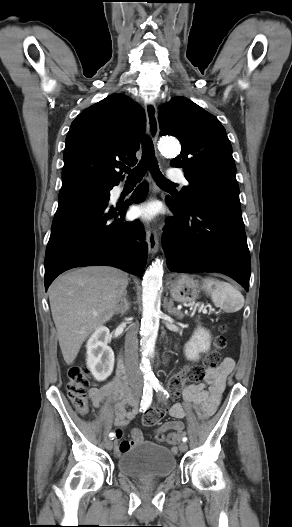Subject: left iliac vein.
Wrapping results in <instances>:
<instances>
[{"label":"left iliac vein","mask_w":292,"mask_h":527,"mask_svg":"<svg viewBox=\"0 0 292 527\" xmlns=\"http://www.w3.org/2000/svg\"><path fill=\"white\" fill-rule=\"evenodd\" d=\"M179 449L181 452H186L187 449H188V445L186 442H182L180 445H179Z\"/></svg>","instance_id":"1"}]
</instances>
